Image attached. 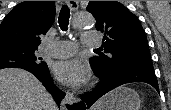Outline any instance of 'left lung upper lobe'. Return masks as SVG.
Wrapping results in <instances>:
<instances>
[{
	"label": "left lung upper lobe",
	"instance_id": "left-lung-upper-lobe-1",
	"mask_svg": "<svg viewBox=\"0 0 171 110\" xmlns=\"http://www.w3.org/2000/svg\"><path fill=\"white\" fill-rule=\"evenodd\" d=\"M87 11L104 33L105 53L90 59L95 74L121 67L153 68L149 46L139 19L117 1H89Z\"/></svg>",
	"mask_w": 171,
	"mask_h": 110
}]
</instances>
